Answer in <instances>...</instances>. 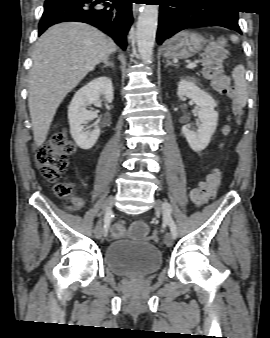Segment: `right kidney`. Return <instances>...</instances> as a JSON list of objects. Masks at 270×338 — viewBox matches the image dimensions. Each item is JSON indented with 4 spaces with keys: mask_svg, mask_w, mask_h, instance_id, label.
Returning <instances> with one entry per match:
<instances>
[{
    "mask_svg": "<svg viewBox=\"0 0 270 338\" xmlns=\"http://www.w3.org/2000/svg\"><path fill=\"white\" fill-rule=\"evenodd\" d=\"M105 101H113V86L109 77H99L78 90L69 107L68 119L71 136L76 144L82 149H90L100 136V129L95 127L93 130H86L84 126L97 117V113L87 110L91 104H99L100 97Z\"/></svg>",
    "mask_w": 270,
    "mask_h": 338,
    "instance_id": "obj_1",
    "label": "right kidney"
}]
</instances>
